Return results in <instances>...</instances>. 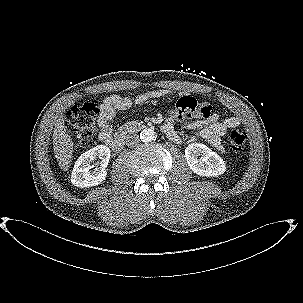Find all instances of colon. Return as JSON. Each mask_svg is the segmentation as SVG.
Listing matches in <instances>:
<instances>
[{"label": "colon", "instance_id": "colon-1", "mask_svg": "<svg viewBox=\"0 0 303 303\" xmlns=\"http://www.w3.org/2000/svg\"><path fill=\"white\" fill-rule=\"evenodd\" d=\"M201 103L191 96L180 97L174 105L173 114L179 118L201 117ZM99 113L98 103L91 100L82 106L74 105L66 113L65 124L80 145H88L94 134L95 120ZM229 142L235 152L244 148L246 136L238 129L229 132Z\"/></svg>", "mask_w": 303, "mask_h": 303}]
</instances>
